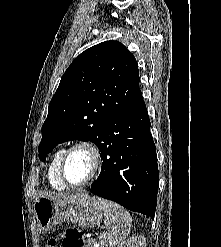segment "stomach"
<instances>
[{
    "instance_id": "0dacf381",
    "label": "stomach",
    "mask_w": 221,
    "mask_h": 247,
    "mask_svg": "<svg viewBox=\"0 0 221 247\" xmlns=\"http://www.w3.org/2000/svg\"><path fill=\"white\" fill-rule=\"evenodd\" d=\"M106 200L80 193L61 198H39L34 204L38 226L48 231L61 222H72L81 227L98 225L103 217Z\"/></svg>"
}]
</instances>
